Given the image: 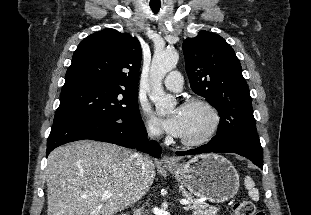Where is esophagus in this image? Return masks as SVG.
<instances>
[{
    "label": "esophagus",
    "instance_id": "obj_1",
    "mask_svg": "<svg viewBox=\"0 0 311 215\" xmlns=\"http://www.w3.org/2000/svg\"><path fill=\"white\" fill-rule=\"evenodd\" d=\"M161 163L163 165H167V166H172V165H175V161L174 159H172L171 157L167 156V155H164L161 159Z\"/></svg>",
    "mask_w": 311,
    "mask_h": 215
}]
</instances>
